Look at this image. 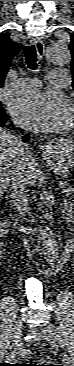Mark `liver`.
Returning <instances> with one entry per match:
<instances>
[{"mask_svg": "<svg viewBox=\"0 0 74 366\" xmlns=\"http://www.w3.org/2000/svg\"><path fill=\"white\" fill-rule=\"evenodd\" d=\"M22 141L5 129H0V191L3 193L9 186L13 174L17 171L24 155L20 150ZM26 158V157H25ZM28 158V157H27ZM24 172L28 184L32 185L39 178L41 171L33 154L25 160Z\"/></svg>", "mask_w": 74, "mask_h": 366, "instance_id": "6515ba94", "label": "liver"}]
</instances>
